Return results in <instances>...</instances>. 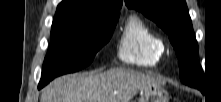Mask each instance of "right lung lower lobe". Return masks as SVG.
<instances>
[{
	"label": "right lung lower lobe",
	"instance_id": "1",
	"mask_svg": "<svg viewBox=\"0 0 221 102\" xmlns=\"http://www.w3.org/2000/svg\"><path fill=\"white\" fill-rule=\"evenodd\" d=\"M43 86H45V85L39 84L38 88L40 89V88H42Z\"/></svg>",
	"mask_w": 221,
	"mask_h": 102
}]
</instances>
